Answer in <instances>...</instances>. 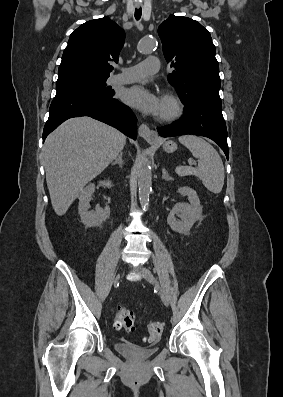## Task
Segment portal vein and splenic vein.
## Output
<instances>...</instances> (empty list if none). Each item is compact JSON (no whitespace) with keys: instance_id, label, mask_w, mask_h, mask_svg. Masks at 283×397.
Segmentation results:
<instances>
[{"instance_id":"obj_1","label":"portal vein and splenic vein","mask_w":283,"mask_h":397,"mask_svg":"<svg viewBox=\"0 0 283 397\" xmlns=\"http://www.w3.org/2000/svg\"><path fill=\"white\" fill-rule=\"evenodd\" d=\"M189 164L190 165H194L195 163L193 161H189Z\"/></svg>"}]
</instances>
